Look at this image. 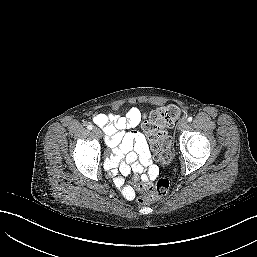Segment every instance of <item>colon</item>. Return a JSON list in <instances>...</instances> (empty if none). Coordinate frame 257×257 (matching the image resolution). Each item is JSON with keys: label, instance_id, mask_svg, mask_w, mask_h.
<instances>
[{"label": "colon", "instance_id": "colon-1", "mask_svg": "<svg viewBox=\"0 0 257 257\" xmlns=\"http://www.w3.org/2000/svg\"><path fill=\"white\" fill-rule=\"evenodd\" d=\"M180 115L181 110L178 106L167 105L154 110L144 124L152 150L157 160L162 164H167L171 160V139L165 128L172 127L180 118ZM137 186L142 192L138 202L146 204L166 195L169 191L170 183L167 179L160 178L154 184L144 181L138 183Z\"/></svg>", "mask_w": 257, "mask_h": 257}]
</instances>
